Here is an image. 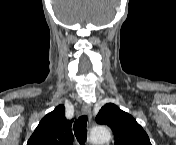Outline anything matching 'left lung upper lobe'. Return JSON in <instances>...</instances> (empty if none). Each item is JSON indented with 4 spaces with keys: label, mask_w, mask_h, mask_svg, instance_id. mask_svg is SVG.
Segmentation results:
<instances>
[{
    "label": "left lung upper lobe",
    "mask_w": 176,
    "mask_h": 145,
    "mask_svg": "<svg viewBox=\"0 0 176 145\" xmlns=\"http://www.w3.org/2000/svg\"><path fill=\"white\" fill-rule=\"evenodd\" d=\"M96 122L111 127L115 145H151L147 133L136 120L113 103L101 108Z\"/></svg>",
    "instance_id": "1"
}]
</instances>
